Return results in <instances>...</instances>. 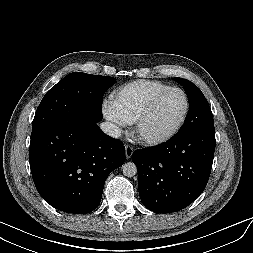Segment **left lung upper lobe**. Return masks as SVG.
<instances>
[{"mask_svg": "<svg viewBox=\"0 0 253 253\" xmlns=\"http://www.w3.org/2000/svg\"><path fill=\"white\" fill-rule=\"evenodd\" d=\"M173 80L184 87L189 101L188 115L178 133H189L214 125L211 108L201 90L186 79L177 77Z\"/></svg>", "mask_w": 253, "mask_h": 253, "instance_id": "obj_1", "label": "left lung upper lobe"}]
</instances>
